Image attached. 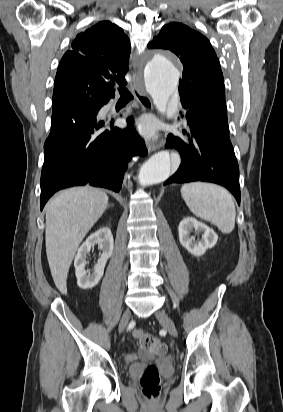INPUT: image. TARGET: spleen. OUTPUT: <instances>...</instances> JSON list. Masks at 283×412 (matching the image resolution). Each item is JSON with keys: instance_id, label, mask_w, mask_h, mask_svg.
I'll return each mask as SVG.
<instances>
[{"instance_id": "spleen-1", "label": "spleen", "mask_w": 283, "mask_h": 412, "mask_svg": "<svg viewBox=\"0 0 283 412\" xmlns=\"http://www.w3.org/2000/svg\"><path fill=\"white\" fill-rule=\"evenodd\" d=\"M181 195L190 211L229 234L235 227L236 210L232 196L224 188L203 182L184 184Z\"/></svg>"}]
</instances>
